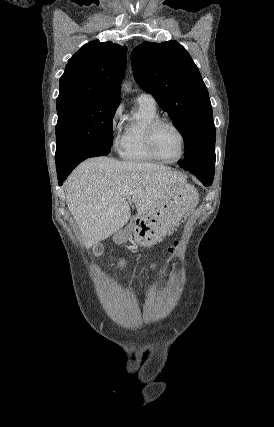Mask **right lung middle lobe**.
Here are the masks:
<instances>
[{
  "label": "right lung middle lobe",
  "instance_id": "right-lung-middle-lobe-1",
  "mask_svg": "<svg viewBox=\"0 0 274 427\" xmlns=\"http://www.w3.org/2000/svg\"><path fill=\"white\" fill-rule=\"evenodd\" d=\"M121 99H88L57 107L56 168L112 147V120Z\"/></svg>",
  "mask_w": 274,
  "mask_h": 427
}]
</instances>
